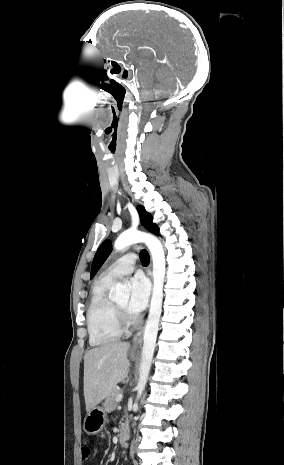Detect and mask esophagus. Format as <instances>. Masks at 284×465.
I'll return each instance as SVG.
<instances>
[{"label": "esophagus", "mask_w": 284, "mask_h": 465, "mask_svg": "<svg viewBox=\"0 0 284 465\" xmlns=\"http://www.w3.org/2000/svg\"><path fill=\"white\" fill-rule=\"evenodd\" d=\"M148 275L149 277L151 278L152 280V262L150 261V264L148 266ZM142 333H143V329L140 328L134 335L133 337V348L134 349H137L138 347L141 346V339H142Z\"/></svg>", "instance_id": "34e87169"}]
</instances>
